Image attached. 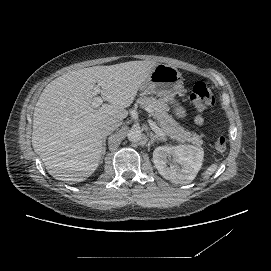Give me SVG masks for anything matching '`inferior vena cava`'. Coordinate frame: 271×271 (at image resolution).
<instances>
[{"label":"inferior vena cava","mask_w":271,"mask_h":271,"mask_svg":"<svg viewBox=\"0 0 271 271\" xmlns=\"http://www.w3.org/2000/svg\"><path fill=\"white\" fill-rule=\"evenodd\" d=\"M121 125L120 121H109L105 124L102 125L101 127V134L102 136H106L108 134H110L111 132L115 131L116 129L119 128V126Z\"/></svg>","instance_id":"1"}]
</instances>
